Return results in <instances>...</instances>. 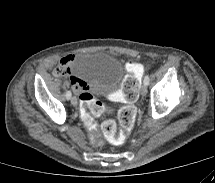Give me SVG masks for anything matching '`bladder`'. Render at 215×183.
Returning <instances> with one entry per match:
<instances>
[{"mask_svg":"<svg viewBox=\"0 0 215 183\" xmlns=\"http://www.w3.org/2000/svg\"><path fill=\"white\" fill-rule=\"evenodd\" d=\"M69 69L91 85L94 94L105 95L116 91L126 74L123 63L101 51H88L76 55Z\"/></svg>","mask_w":215,"mask_h":183,"instance_id":"1","label":"bladder"}]
</instances>
